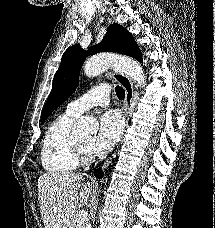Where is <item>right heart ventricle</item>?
<instances>
[{
    "label": "right heart ventricle",
    "instance_id": "obj_1",
    "mask_svg": "<svg viewBox=\"0 0 215 228\" xmlns=\"http://www.w3.org/2000/svg\"><path fill=\"white\" fill-rule=\"evenodd\" d=\"M77 115L65 111L47 128L41 147V162L46 172L67 174L81 164L76 152V137L72 127Z\"/></svg>",
    "mask_w": 215,
    "mask_h": 228
}]
</instances>
